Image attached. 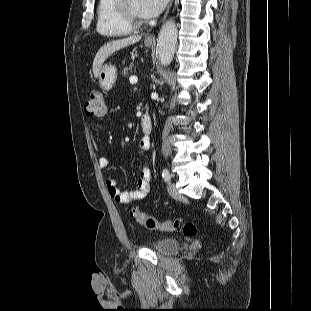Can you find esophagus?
I'll return each mask as SVG.
<instances>
[{"instance_id":"obj_1","label":"esophagus","mask_w":311,"mask_h":311,"mask_svg":"<svg viewBox=\"0 0 311 311\" xmlns=\"http://www.w3.org/2000/svg\"><path fill=\"white\" fill-rule=\"evenodd\" d=\"M172 3H173V0H171L170 5L168 6V8H167V10H166V13H165V15H164L163 20L166 19L167 15H168V13H169V10H170V8H171V6H172ZM146 40H147V41H155V36H154V35H149V36L146 37Z\"/></svg>"}]
</instances>
